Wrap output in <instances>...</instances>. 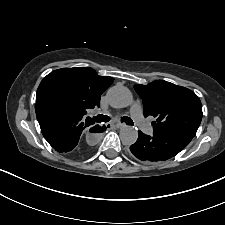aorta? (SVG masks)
<instances>
[{
  "instance_id": "aorta-1",
  "label": "aorta",
  "mask_w": 225,
  "mask_h": 225,
  "mask_svg": "<svg viewBox=\"0 0 225 225\" xmlns=\"http://www.w3.org/2000/svg\"><path fill=\"white\" fill-rule=\"evenodd\" d=\"M108 100L115 108H125L133 103L132 93L124 86H113L109 89ZM138 131L132 126H124L120 130V139L124 145H132L137 141Z\"/></svg>"
}]
</instances>
